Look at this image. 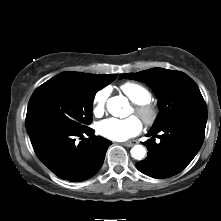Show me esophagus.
Segmentation results:
<instances>
[{
	"label": "esophagus",
	"instance_id": "esophagus-1",
	"mask_svg": "<svg viewBox=\"0 0 221 221\" xmlns=\"http://www.w3.org/2000/svg\"><path fill=\"white\" fill-rule=\"evenodd\" d=\"M123 145L125 147H132L134 145V142H125V143H123Z\"/></svg>",
	"mask_w": 221,
	"mask_h": 221
}]
</instances>
